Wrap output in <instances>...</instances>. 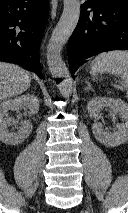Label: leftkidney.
Segmentation results:
<instances>
[{"label": "left kidney", "mask_w": 128, "mask_h": 213, "mask_svg": "<svg viewBox=\"0 0 128 213\" xmlns=\"http://www.w3.org/2000/svg\"><path fill=\"white\" fill-rule=\"evenodd\" d=\"M106 107L119 113L124 122L116 125L114 133L105 132L100 122L93 124L92 131L100 143L108 147H116L128 141V104L121 99L96 97L88 102L87 111L90 117L97 119L100 112Z\"/></svg>", "instance_id": "5707ae66"}]
</instances>
